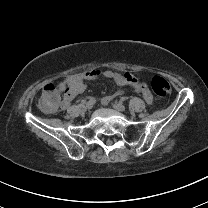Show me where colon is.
<instances>
[{"label":"colon","instance_id":"1","mask_svg":"<svg viewBox=\"0 0 208 208\" xmlns=\"http://www.w3.org/2000/svg\"><path fill=\"white\" fill-rule=\"evenodd\" d=\"M150 86L158 97H166L171 94L169 82L161 76H153L149 79ZM71 94V87L67 83H49L44 88L41 107L48 112L59 111L63 107V100Z\"/></svg>","mask_w":208,"mask_h":208}]
</instances>
